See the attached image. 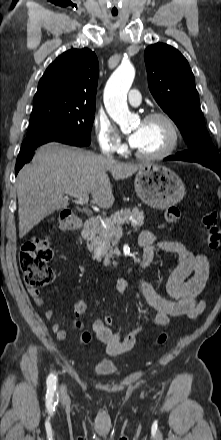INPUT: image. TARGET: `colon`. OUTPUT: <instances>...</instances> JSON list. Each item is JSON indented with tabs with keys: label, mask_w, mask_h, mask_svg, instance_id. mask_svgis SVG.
<instances>
[{
	"label": "colon",
	"mask_w": 221,
	"mask_h": 440,
	"mask_svg": "<svg viewBox=\"0 0 221 440\" xmlns=\"http://www.w3.org/2000/svg\"><path fill=\"white\" fill-rule=\"evenodd\" d=\"M181 211L177 207H169L164 212V220L167 224L174 225L181 220ZM57 226L63 232H72L81 225V219L73 212L63 211L57 218ZM203 224L207 227V245L211 250L221 246V229L216 226V217L214 214H206L203 218ZM53 257L49 242L41 237L34 236L25 241L19 253V266L24 274L26 284L32 288H39L50 283L54 278V271L49 266ZM87 304L84 300H79L74 306V313L80 318L86 311ZM103 323L107 329L115 328V321L112 315H104ZM80 326V322H77ZM91 335L89 332H83L81 340L84 343L89 342ZM167 335L162 333L156 339V345L165 343Z\"/></svg>",
	"instance_id": "obj_1"
}]
</instances>
